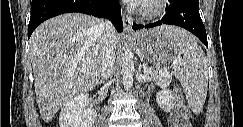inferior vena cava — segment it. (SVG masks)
<instances>
[{"label": "inferior vena cava", "instance_id": "inferior-vena-cava-1", "mask_svg": "<svg viewBox=\"0 0 243 127\" xmlns=\"http://www.w3.org/2000/svg\"><path fill=\"white\" fill-rule=\"evenodd\" d=\"M100 27L105 33L102 41L103 46L101 54L100 73L102 79L107 80L112 74L113 66L115 63L116 45L113 40L115 29L109 21H100Z\"/></svg>", "mask_w": 243, "mask_h": 127}]
</instances>
